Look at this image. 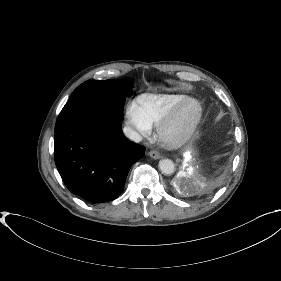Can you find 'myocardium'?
<instances>
[{
	"label": "myocardium",
	"instance_id": "f54148a6",
	"mask_svg": "<svg viewBox=\"0 0 281 281\" xmlns=\"http://www.w3.org/2000/svg\"><path fill=\"white\" fill-rule=\"evenodd\" d=\"M194 109L192 119L186 124H180L185 110ZM203 115L201 102L193 97H187L175 106L158 126V138L163 146L176 149L185 144L196 131Z\"/></svg>",
	"mask_w": 281,
	"mask_h": 281
}]
</instances>
